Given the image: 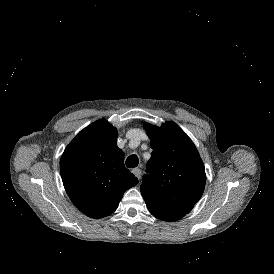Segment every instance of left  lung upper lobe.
I'll return each mask as SVG.
<instances>
[{
	"label": "left lung upper lobe",
	"instance_id": "obj_1",
	"mask_svg": "<svg viewBox=\"0 0 274 274\" xmlns=\"http://www.w3.org/2000/svg\"><path fill=\"white\" fill-rule=\"evenodd\" d=\"M153 149L141 194L155 204L189 213L204 191V164L190 138L174 122L145 123Z\"/></svg>",
	"mask_w": 274,
	"mask_h": 274
}]
</instances>
